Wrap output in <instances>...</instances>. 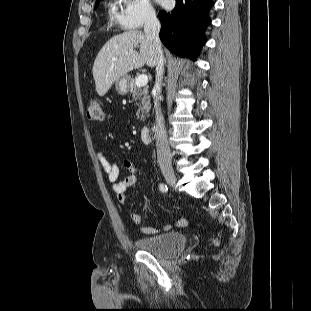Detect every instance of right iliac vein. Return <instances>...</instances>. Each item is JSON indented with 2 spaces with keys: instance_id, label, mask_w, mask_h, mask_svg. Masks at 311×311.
Segmentation results:
<instances>
[{
  "instance_id": "obj_1",
  "label": "right iliac vein",
  "mask_w": 311,
  "mask_h": 311,
  "mask_svg": "<svg viewBox=\"0 0 311 311\" xmlns=\"http://www.w3.org/2000/svg\"><path fill=\"white\" fill-rule=\"evenodd\" d=\"M162 174L166 180V182L170 185V186H175L176 185V176L175 173L173 171V169L171 167H166L162 169Z\"/></svg>"
}]
</instances>
